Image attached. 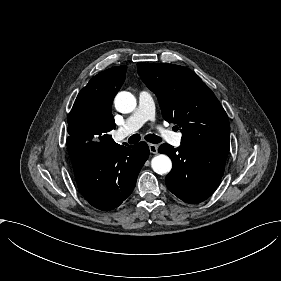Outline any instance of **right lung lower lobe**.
Returning a JSON list of instances; mask_svg holds the SVG:
<instances>
[{"label":"right lung lower lobe","instance_id":"right-lung-lower-lobe-1","mask_svg":"<svg viewBox=\"0 0 281 281\" xmlns=\"http://www.w3.org/2000/svg\"><path fill=\"white\" fill-rule=\"evenodd\" d=\"M68 150L79 191L92 206L104 211L118 207L132 193L149 156L145 142L78 144Z\"/></svg>","mask_w":281,"mask_h":281}]
</instances>
